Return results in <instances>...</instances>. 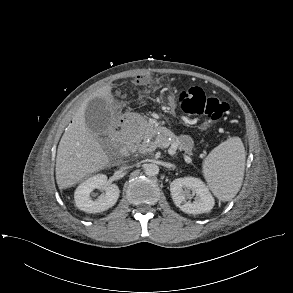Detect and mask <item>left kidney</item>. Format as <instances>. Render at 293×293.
I'll return each instance as SVG.
<instances>
[{
	"mask_svg": "<svg viewBox=\"0 0 293 293\" xmlns=\"http://www.w3.org/2000/svg\"><path fill=\"white\" fill-rule=\"evenodd\" d=\"M190 191L196 194V199L193 202L190 201L192 198ZM170 192L175 205L188 214L209 212L215 204L214 197L199 178H177L171 182Z\"/></svg>",
	"mask_w": 293,
	"mask_h": 293,
	"instance_id": "obj_1",
	"label": "left kidney"
}]
</instances>
